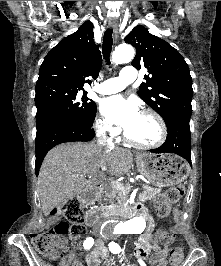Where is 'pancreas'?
Masks as SVG:
<instances>
[{"label": "pancreas", "instance_id": "1", "mask_svg": "<svg viewBox=\"0 0 221 266\" xmlns=\"http://www.w3.org/2000/svg\"><path fill=\"white\" fill-rule=\"evenodd\" d=\"M127 186H129V184L125 185V187ZM143 188L144 191L139 195V200L142 202L152 200L161 192L160 188H151L147 185H143ZM104 194L105 196L103 199L97 198V200L109 203V205L102 206V208L107 212L111 211L113 208L121 207L127 199V193L119 190L114 186L105 188Z\"/></svg>", "mask_w": 221, "mask_h": 266}]
</instances>
